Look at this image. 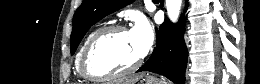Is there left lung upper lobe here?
<instances>
[{
    "instance_id": "5c2ea615",
    "label": "left lung upper lobe",
    "mask_w": 260,
    "mask_h": 84,
    "mask_svg": "<svg viewBox=\"0 0 260 84\" xmlns=\"http://www.w3.org/2000/svg\"><path fill=\"white\" fill-rule=\"evenodd\" d=\"M134 0H83L73 17V30L70 38L71 54H74L80 41L96 22Z\"/></svg>"
}]
</instances>
